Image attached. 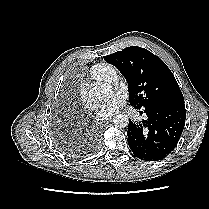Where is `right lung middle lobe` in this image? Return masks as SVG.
<instances>
[{"instance_id":"1","label":"right lung middle lobe","mask_w":209,"mask_h":209,"mask_svg":"<svg viewBox=\"0 0 209 209\" xmlns=\"http://www.w3.org/2000/svg\"><path fill=\"white\" fill-rule=\"evenodd\" d=\"M58 146H59V149L63 153H65V154H67V155H69L71 157L77 156L80 153L78 148L72 147V146H70V144L65 143V142H59Z\"/></svg>"}]
</instances>
